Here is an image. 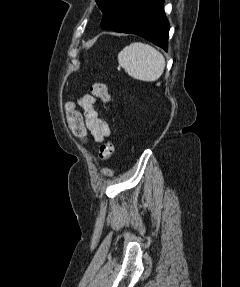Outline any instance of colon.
Returning <instances> with one entry per match:
<instances>
[{"mask_svg":"<svg viewBox=\"0 0 240 287\" xmlns=\"http://www.w3.org/2000/svg\"><path fill=\"white\" fill-rule=\"evenodd\" d=\"M91 94L104 103L111 100V94L104 83L94 82L90 86ZM67 123L72 134L79 140L85 141L87 131L84 125L81 113L74 109L71 103L66 106ZM114 152V144L111 141H106L100 146L99 157L101 161H107Z\"/></svg>","mask_w":240,"mask_h":287,"instance_id":"colon-1","label":"colon"}]
</instances>
